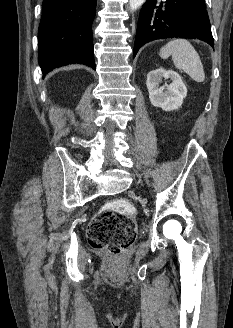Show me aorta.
I'll return each instance as SVG.
<instances>
[{
  "label": "aorta",
  "mask_w": 233,
  "mask_h": 328,
  "mask_svg": "<svg viewBox=\"0 0 233 328\" xmlns=\"http://www.w3.org/2000/svg\"><path fill=\"white\" fill-rule=\"evenodd\" d=\"M146 0H129L131 10L138 9Z\"/></svg>",
  "instance_id": "aorta-1"
}]
</instances>
